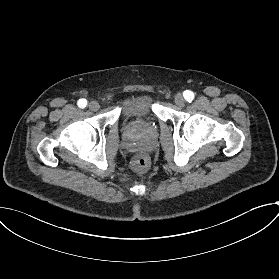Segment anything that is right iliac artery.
Wrapping results in <instances>:
<instances>
[{"instance_id":"82829eb1","label":"right iliac artery","mask_w":279,"mask_h":279,"mask_svg":"<svg viewBox=\"0 0 279 279\" xmlns=\"http://www.w3.org/2000/svg\"><path fill=\"white\" fill-rule=\"evenodd\" d=\"M77 105L80 107V108H84L86 107L87 105V100L86 99H79L78 102H77Z\"/></svg>"}]
</instances>
